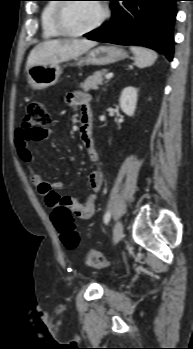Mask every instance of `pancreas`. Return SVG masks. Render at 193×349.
Listing matches in <instances>:
<instances>
[{
  "label": "pancreas",
  "mask_w": 193,
  "mask_h": 349,
  "mask_svg": "<svg viewBox=\"0 0 193 349\" xmlns=\"http://www.w3.org/2000/svg\"><path fill=\"white\" fill-rule=\"evenodd\" d=\"M106 72V69L95 72L93 75L89 76L83 83H81L80 87L84 91L98 89L99 85H103L105 83L104 75L106 74Z\"/></svg>",
  "instance_id": "obj_1"
}]
</instances>
